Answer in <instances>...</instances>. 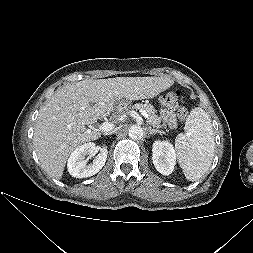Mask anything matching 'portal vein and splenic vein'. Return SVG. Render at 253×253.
Returning <instances> with one entry per match:
<instances>
[{
  "label": "portal vein and splenic vein",
  "mask_w": 253,
  "mask_h": 253,
  "mask_svg": "<svg viewBox=\"0 0 253 253\" xmlns=\"http://www.w3.org/2000/svg\"><path fill=\"white\" fill-rule=\"evenodd\" d=\"M139 112L141 113V115L143 117H145V118L148 117V114L145 110H140ZM113 128H114V124L111 122H104V123L100 124L98 127V129L100 131H104V132H108V131L112 130Z\"/></svg>",
  "instance_id": "1"
}]
</instances>
